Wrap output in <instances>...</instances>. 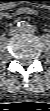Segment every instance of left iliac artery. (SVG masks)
Wrapping results in <instances>:
<instances>
[{"label":"left iliac artery","mask_w":50,"mask_h":111,"mask_svg":"<svg viewBox=\"0 0 50 111\" xmlns=\"http://www.w3.org/2000/svg\"><path fill=\"white\" fill-rule=\"evenodd\" d=\"M28 30H29V32H34L35 31V26L29 25Z\"/></svg>","instance_id":"1"}]
</instances>
